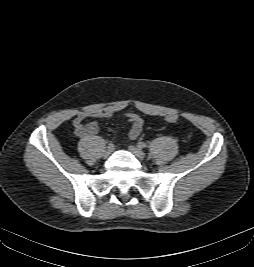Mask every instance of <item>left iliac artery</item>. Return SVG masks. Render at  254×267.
Here are the masks:
<instances>
[{
	"instance_id": "left-iliac-artery-1",
	"label": "left iliac artery",
	"mask_w": 254,
	"mask_h": 267,
	"mask_svg": "<svg viewBox=\"0 0 254 267\" xmlns=\"http://www.w3.org/2000/svg\"><path fill=\"white\" fill-rule=\"evenodd\" d=\"M137 145L139 148H147L148 147V145L144 142H138Z\"/></svg>"
}]
</instances>
